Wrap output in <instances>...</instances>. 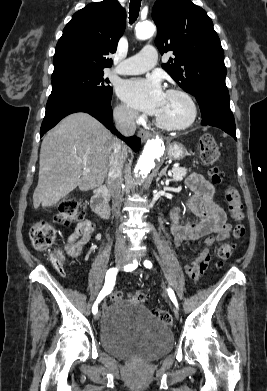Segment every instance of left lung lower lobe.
I'll return each instance as SVG.
<instances>
[{"label":"left lung lower lobe","mask_w":267,"mask_h":391,"mask_svg":"<svg viewBox=\"0 0 267 391\" xmlns=\"http://www.w3.org/2000/svg\"><path fill=\"white\" fill-rule=\"evenodd\" d=\"M195 97L202 113L201 125L218 127L236 139L235 121L229 105V93L207 91Z\"/></svg>","instance_id":"obj_1"}]
</instances>
